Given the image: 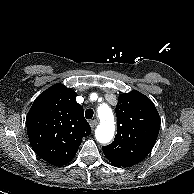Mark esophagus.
I'll list each match as a JSON object with an SVG mask.
<instances>
[{
    "mask_svg": "<svg viewBox=\"0 0 194 194\" xmlns=\"http://www.w3.org/2000/svg\"><path fill=\"white\" fill-rule=\"evenodd\" d=\"M90 126L92 129H94L97 125H98V121L97 120H91L89 122Z\"/></svg>",
    "mask_w": 194,
    "mask_h": 194,
    "instance_id": "34e87169",
    "label": "esophagus"
}]
</instances>
